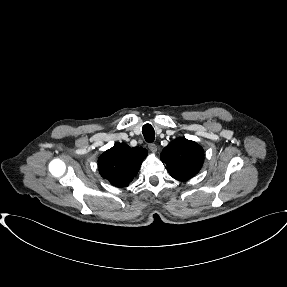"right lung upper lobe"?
I'll use <instances>...</instances> for the list:
<instances>
[{
	"instance_id": "obj_1",
	"label": "right lung upper lobe",
	"mask_w": 287,
	"mask_h": 287,
	"mask_svg": "<svg viewBox=\"0 0 287 287\" xmlns=\"http://www.w3.org/2000/svg\"><path fill=\"white\" fill-rule=\"evenodd\" d=\"M146 155L147 150L142 147L130 148L125 143H117L99 157V172L114 186H128Z\"/></svg>"
}]
</instances>
